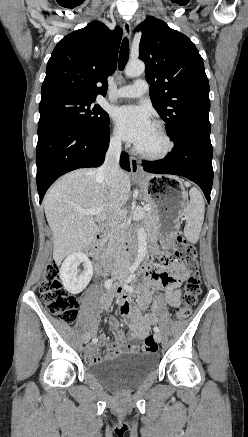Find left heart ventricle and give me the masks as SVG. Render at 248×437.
<instances>
[{"label": "left heart ventricle", "mask_w": 248, "mask_h": 437, "mask_svg": "<svg viewBox=\"0 0 248 437\" xmlns=\"http://www.w3.org/2000/svg\"><path fill=\"white\" fill-rule=\"evenodd\" d=\"M146 152L157 153L164 149L165 142L155 126H152L147 136L137 145Z\"/></svg>", "instance_id": "left-heart-ventricle-1"}]
</instances>
